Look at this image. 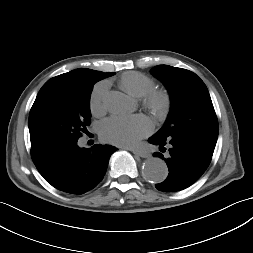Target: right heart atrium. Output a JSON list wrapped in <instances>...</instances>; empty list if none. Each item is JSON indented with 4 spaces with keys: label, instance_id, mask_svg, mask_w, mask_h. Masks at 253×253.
I'll return each mask as SVG.
<instances>
[{
    "label": "right heart atrium",
    "instance_id": "right-heart-atrium-1",
    "mask_svg": "<svg viewBox=\"0 0 253 253\" xmlns=\"http://www.w3.org/2000/svg\"><path fill=\"white\" fill-rule=\"evenodd\" d=\"M106 92L107 84L105 82H100L94 86L90 96V108L93 113L103 111Z\"/></svg>",
    "mask_w": 253,
    "mask_h": 253
}]
</instances>
